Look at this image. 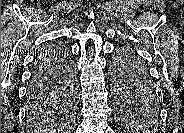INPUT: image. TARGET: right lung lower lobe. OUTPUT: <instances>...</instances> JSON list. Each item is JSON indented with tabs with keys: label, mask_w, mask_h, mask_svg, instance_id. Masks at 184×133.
<instances>
[{
	"label": "right lung lower lobe",
	"mask_w": 184,
	"mask_h": 133,
	"mask_svg": "<svg viewBox=\"0 0 184 133\" xmlns=\"http://www.w3.org/2000/svg\"><path fill=\"white\" fill-rule=\"evenodd\" d=\"M44 52H48V50H44L36 56L27 95H31L34 91H42L50 83L51 76L46 70L49 67V62L41 56ZM62 54L65 55V52Z\"/></svg>",
	"instance_id": "right-lung-lower-lobe-1"
}]
</instances>
